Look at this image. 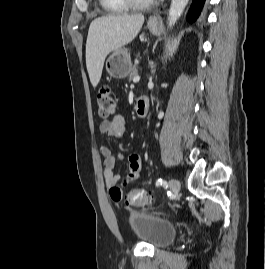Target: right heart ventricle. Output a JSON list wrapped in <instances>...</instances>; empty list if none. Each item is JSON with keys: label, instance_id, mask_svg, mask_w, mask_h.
<instances>
[{"label": "right heart ventricle", "instance_id": "e07e8e85", "mask_svg": "<svg viewBox=\"0 0 265 269\" xmlns=\"http://www.w3.org/2000/svg\"><path fill=\"white\" fill-rule=\"evenodd\" d=\"M103 9L109 13H123L130 7L124 0H99Z\"/></svg>", "mask_w": 265, "mask_h": 269}]
</instances>
